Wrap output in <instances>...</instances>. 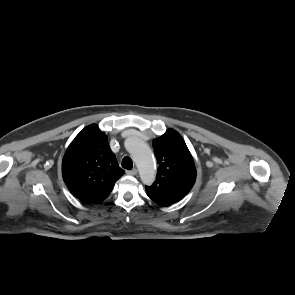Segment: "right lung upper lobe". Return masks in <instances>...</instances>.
Returning a JSON list of instances; mask_svg holds the SVG:
<instances>
[{
    "label": "right lung upper lobe",
    "instance_id": "right-lung-upper-lobe-1",
    "mask_svg": "<svg viewBox=\"0 0 295 295\" xmlns=\"http://www.w3.org/2000/svg\"><path fill=\"white\" fill-rule=\"evenodd\" d=\"M123 174L107 136L95 124L76 136L62 162V175L68 189L89 204L105 200Z\"/></svg>",
    "mask_w": 295,
    "mask_h": 295
}]
</instances>
